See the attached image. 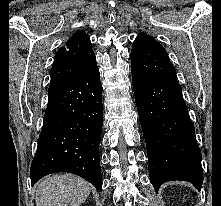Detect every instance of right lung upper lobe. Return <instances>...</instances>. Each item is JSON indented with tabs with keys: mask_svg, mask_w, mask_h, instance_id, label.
Instances as JSON below:
<instances>
[{
	"mask_svg": "<svg viewBox=\"0 0 221 206\" xmlns=\"http://www.w3.org/2000/svg\"><path fill=\"white\" fill-rule=\"evenodd\" d=\"M95 64L89 35L82 30L77 31L55 55L49 88L76 77Z\"/></svg>",
	"mask_w": 221,
	"mask_h": 206,
	"instance_id": "right-lung-upper-lobe-1",
	"label": "right lung upper lobe"
}]
</instances>
